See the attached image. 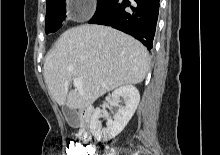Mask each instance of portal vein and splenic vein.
Wrapping results in <instances>:
<instances>
[{"instance_id": "18ae733b", "label": "portal vein and splenic vein", "mask_w": 220, "mask_h": 155, "mask_svg": "<svg viewBox=\"0 0 220 155\" xmlns=\"http://www.w3.org/2000/svg\"><path fill=\"white\" fill-rule=\"evenodd\" d=\"M73 85L75 86V88H77L82 94H84L83 90H82V81L79 78H75L73 80Z\"/></svg>"}]
</instances>
